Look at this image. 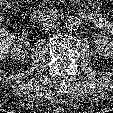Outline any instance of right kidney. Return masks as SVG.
Instances as JSON below:
<instances>
[{
	"label": "right kidney",
	"instance_id": "right-kidney-1",
	"mask_svg": "<svg viewBox=\"0 0 113 113\" xmlns=\"http://www.w3.org/2000/svg\"><path fill=\"white\" fill-rule=\"evenodd\" d=\"M30 42L27 37L18 38L17 42L14 44V47L11 50V55L14 60L24 59L29 50Z\"/></svg>",
	"mask_w": 113,
	"mask_h": 113
}]
</instances>
